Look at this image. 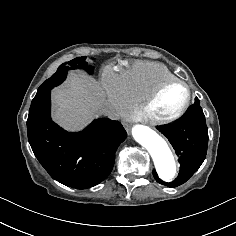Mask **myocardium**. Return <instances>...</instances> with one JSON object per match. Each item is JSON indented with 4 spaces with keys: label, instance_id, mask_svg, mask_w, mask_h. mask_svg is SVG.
<instances>
[{
    "label": "myocardium",
    "instance_id": "obj_1",
    "mask_svg": "<svg viewBox=\"0 0 236 236\" xmlns=\"http://www.w3.org/2000/svg\"><path fill=\"white\" fill-rule=\"evenodd\" d=\"M180 85L186 90V97L183 105L179 108L177 112L173 115L166 118H158L152 114V108L160 95L170 86ZM192 101V91L190 86L180 80V79H170L165 80L159 83L140 103H139V111L141 114V119L144 123L155 126V127H163L170 125L179 119H181L186 112L189 110Z\"/></svg>",
    "mask_w": 236,
    "mask_h": 236
}]
</instances>
